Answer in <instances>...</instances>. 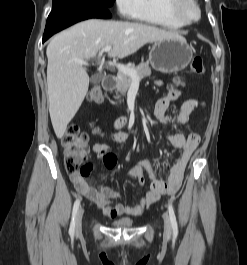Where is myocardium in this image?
I'll return each mask as SVG.
<instances>
[{"mask_svg":"<svg viewBox=\"0 0 247 265\" xmlns=\"http://www.w3.org/2000/svg\"><path fill=\"white\" fill-rule=\"evenodd\" d=\"M193 7L196 11L194 17H189L186 14L187 7ZM169 9L173 16L184 25L196 23L202 16L201 7L197 0H170Z\"/></svg>","mask_w":247,"mask_h":265,"instance_id":"myocardium-1","label":"myocardium"}]
</instances>
